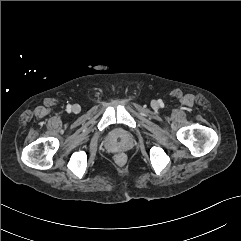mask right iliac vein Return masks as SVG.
Instances as JSON below:
<instances>
[{
  "label": "right iliac vein",
  "mask_w": 241,
  "mask_h": 241,
  "mask_svg": "<svg viewBox=\"0 0 241 241\" xmlns=\"http://www.w3.org/2000/svg\"><path fill=\"white\" fill-rule=\"evenodd\" d=\"M80 110H81V108H80V106H79L78 104L73 105L72 111H73L74 113H79Z\"/></svg>",
  "instance_id": "1"
}]
</instances>
